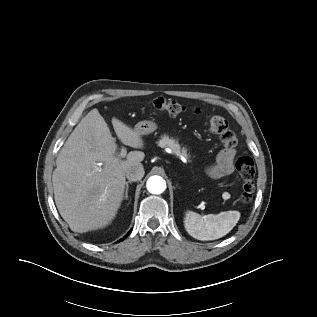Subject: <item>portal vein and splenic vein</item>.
I'll return each instance as SVG.
<instances>
[{"label":"portal vein and splenic vein","mask_w":317,"mask_h":317,"mask_svg":"<svg viewBox=\"0 0 317 317\" xmlns=\"http://www.w3.org/2000/svg\"><path fill=\"white\" fill-rule=\"evenodd\" d=\"M126 154H127V150H126V148L123 147V148L121 149V152H120V154H119V157H125Z\"/></svg>","instance_id":"1"}]
</instances>
